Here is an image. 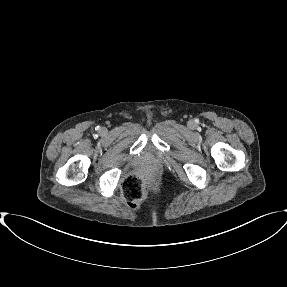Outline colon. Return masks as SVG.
<instances>
[{
  "label": "colon",
  "instance_id": "obj_1",
  "mask_svg": "<svg viewBox=\"0 0 287 287\" xmlns=\"http://www.w3.org/2000/svg\"><path fill=\"white\" fill-rule=\"evenodd\" d=\"M146 178L142 174L128 176L122 184V194L126 203L132 207L140 204L145 194Z\"/></svg>",
  "mask_w": 287,
  "mask_h": 287
}]
</instances>
